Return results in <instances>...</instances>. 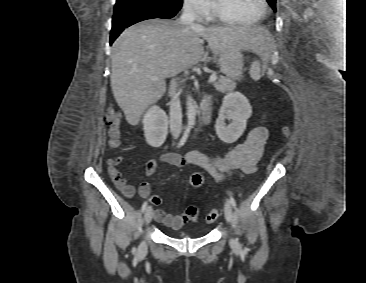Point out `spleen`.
I'll list each match as a JSON object with an SVG mask.
<instances>
[{
  "label": "spleen",
  "instance_id": "spleen-1",
  "mask_svg": "<svg viewBox=\"0 0 366 283\" xmlns=\"http://www.w3.org/2000/svg\"><path fill=\"white\" fill-rule=\"evenodd\" d=\"M260 72H261L260 63L258 61L252 62L250 70H249L250 77L253 80L257 81L261 78Z\"/></svg>",
  "mask_w": 366,
  "mask_h": 283
}]
</instances>
